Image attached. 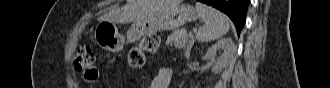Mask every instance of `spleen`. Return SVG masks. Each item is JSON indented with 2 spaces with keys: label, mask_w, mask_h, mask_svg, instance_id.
<instances>
[{
  "label": "spleen",
  "mask_w": 330,
  "mask_h": 88,
  "mask_svg": "<svg viewBox=\"0 0 330 88\" xmlns=\"http://www.w3.org/2000/svg\"><path fill=\"white\" fill-rule=\"evenodd\" d=\"M196 11L204 22L196 33V39L200 42H209L221 38L230 29V19L217 9L196 3Z\"/></svg>",
  "instance_id": "spleen-1"
}]
</instances>
